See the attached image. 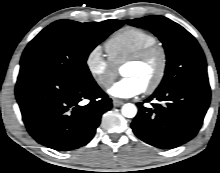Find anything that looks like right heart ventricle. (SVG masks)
<instances>
[{
    "instance_id": "obj_1",
    "label": "right heart ventricle",
    "mask_w": 220,
    "mask_h": 173,
    "mask_svg": "<svg viewBox=\"0 0 220 173\" xmlns=\"http://www.w3.org/2000/svg\"><path fill=\"white\" fill-rule=\"evenodd\" d=\"M157 44L156 37L143 29L125 27L114 33L105 43L110 61L120 66L137 52Z\"/></svg>"
}]
</instances>
